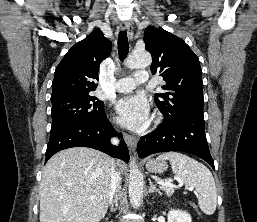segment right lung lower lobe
I'll use <instances>...</instances> for the list:
<instances>
[{
	"instance_id": "98d812e1",
	"label": "right lung lower lobe",
	"mask_w": 257,
	"mask_h": 222,
	"mask_svg": "<svg viewBox=\"0 0 257 222\" xmlns=\"http://www.w3.org/2000/svg\"><path fill=\"white\" fill-rule=\"evenodd\" d=\"M112 136L122 137L121 133L115 131L106 115L95 123L72 122L53 128L50 132L45 161L66 148L89 147L127 162L129 155L124 140L122 139L120 146L116 147L110 143Z\"/></svg>"
}]
</instances>
